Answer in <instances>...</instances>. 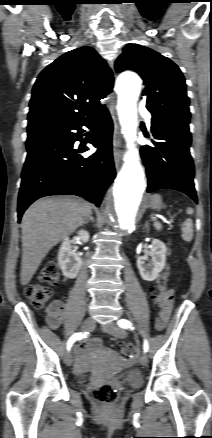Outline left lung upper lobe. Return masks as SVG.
Segmentation results:
<instances>
[{"label": "left lung upper lobe", "instance_id": "5c2ea615", "mask_svg": "<svg viewBox=\"0 0 212 438\" xmlns=\"http://www.w3.org/2000/svg\"><path fill=\"white\" fill-rule=\"evenodd\" d=\"M117 72L133 70L143 78L152 121L189 125V98L182 72L170 59L138 44H128L118 57Z\"/></svg>", "mask_w": 212, "mask_h": 438}]
</instances>
